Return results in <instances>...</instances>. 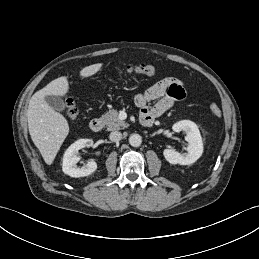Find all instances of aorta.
Wrapping results in <instances>:
<instances>
[{
    "label": "aorta",
    "mask_w": 259,
    "mask_h": 259,
    "mask_svg": "<svg viewBox=\"0 0 259 259\" xmlns=\"http://www.w3.org/2000/svg\"><path fill=\"white\" fill-rule=\"evenodd\" d=\"M129 143L133 147H139L142 143V138L139 134H132L129 137Z\"/></svg>",
    "instance_id": "1"
}]
</instances>
